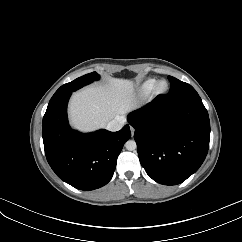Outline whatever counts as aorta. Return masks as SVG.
Instances as JSON below:
<instances>
[{"label": "aorta", "mask_w": 242, "mask_h": 242, "mask_svg": "<svg viewBox=\"0 0 242 242\" xmlns=\"http://www.w3.org/2000/svg\"><path fill=\"white\" fill-rule=\"evenodd\" d=\"M125 147L127 150L129 151H133L136 149L137 145H136V142L134 140H128L126 143H125Z\"/></svg>", "instance_id": "762f6f07"}]
</instances>
